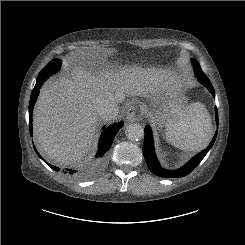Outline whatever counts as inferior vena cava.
I'll list each match as a JSON object with an SVG mask.
<instances>
[{"mask_svg":"<svg viewBox=\"0 0 245 245\" xmlns=\"http://www.w3.org/2000/svg\"><path fill=\"white\" fill-rule=\"evenodd\" d=\"M95 108L101 118L106 121L115 119L119 113L117 103L109 99H98Z\"/></svg>","mask_w":245,"mask_h":245,"instance_id":"602c4592","label":"inferior vena cava"}]
</instances>
